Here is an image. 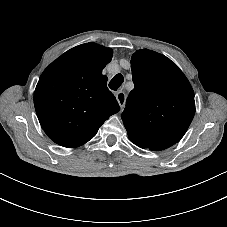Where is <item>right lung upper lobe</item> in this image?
I'll list each match as a JSON object with an SVG mask.
<instances>
[{
  "label": "right lung upper lobe",
  "instance_id": "right-lung-upper-lobe-1",
  "mask_svg": "<svg viewBox=\"0 0 227 227\" xmlns=\"http://www.w3.org/2000/svg\"><path fill=\"white\" fill-rule=\"evenodd\" d=\"M111 59V49L86 43L68 50L44 70L34 92V106L52 141L68 148L81 146L119 112L102 74Z\"/></svg>",
  "mask_w": 227,
  "mask_h": 227
}]
</instances>
